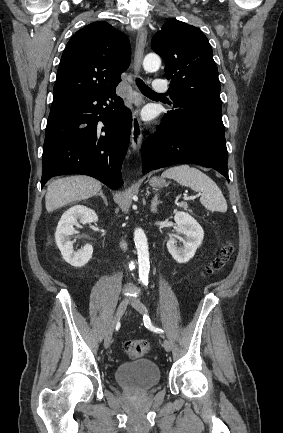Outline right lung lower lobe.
<instances>
[{
    "label": "right lung lower lobe",
    "instance_id": "1",
    "mask_svg": "<svg viewBox=\"0 0 283 433\" xmlns=\"http://www.w3.org/2000/svg\"><path fill=\"white\" fill-rule=\"evenodd\" d=\"M131 127V112L115 89L51 107L43 146L41 187L53 176L84 174L118 189Z\"/></svg>",
    "mask_w": 283,
    "mask_h": 433
}]
</instances>
